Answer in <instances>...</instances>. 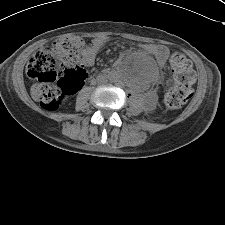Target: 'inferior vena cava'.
<instances>
[{"mask_svg":"<svg viewBox=\"0 0 225 225\" xmlns=\"http://www.w3.org/2000/svg\"><path fill=\"white\" fill-rule=\"evenodd\" d=\"M106 81H107V79L104 78V77H98V78H97V82H98V83H104V82H106Z\"/></svg>","mask_w":225,"mask_h":225,"instance_id":"602c4592","label":"inferior vena cava"}]
</instances>
